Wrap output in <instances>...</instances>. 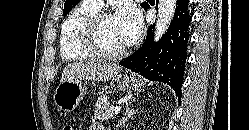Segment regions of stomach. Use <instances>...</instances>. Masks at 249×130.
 I'll list each match as a JSON object with an SVG mask.
<instances>
[{"label": "stomach", "mask_w": 249, "mask_h": 130, "mask_svg": "<svg viewBox=\"0 0 249 130\" xmlns=\"http://www.w3.org/2000/svg\"><path fill=\"white\" fill-rule=\"evenodd\" d=\"M111 86L118 91L139 90L143 87V80L136 75L117 74L112 78ZM86 90L87 88L82 81L69 80L61 82L54 92L55 105L59 110L69 113L82 101Z\"/></svg>", "instance_id": "obj_1"}]
</instances>
